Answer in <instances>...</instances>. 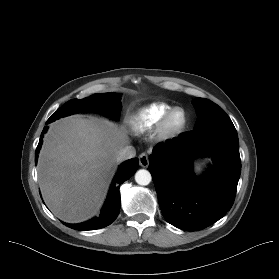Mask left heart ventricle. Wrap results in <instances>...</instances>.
Instances as JSON below:
<instances>
[{
  "label": "left heart ventricle",
  "instance_id": "b2bd125f",
  "mask_svg": "<svg viewBox=\"0 0 279 279\" xmlns=\"http://www.w3.org/2000/svg\"><path fill=\"white\" fill-rule=\"evenodd\" d=\"M182 122V114L180 112H176L170 119V125L172 127H177Z\"/></svg>",
  "mask_w": 279,
  "mask_h": 279
}]
</instances>
